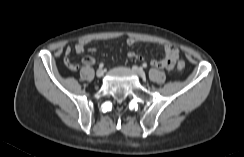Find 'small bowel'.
I'll return each instance as SVG.
<instances>
[{
    "label": "small bowel",
    "instance_id": "c3829d8e",
    "mask_svg": "<svg viewBox=\"0 0 244 157\" xmlns=\"http://www.w3.org/2000/svg\"><path fill=\"white\" fill-rule=\"evenodd\" d=\"M139 40H137L136 38L133 37H129L127 39V45L128 46H133L136 43H138ZM91 43L90 40L88 39H81L80 41H78V43L75 45V51L79 54L83 53L85 51V48ZM161 48L164 51V57L160 60H151L150 64L156 68L159 69H167V70H172L175 67L176 61L179 58V51L178 49L169 44V43H163L161 45ZM89 51H95V48L90 47ZM71 53V47H67L65 50V58H64V63L65 65L72 71H76L78 69V65L73 64L70 59H69V55ZM128 57L131 59H135V60H142V56L136 54L135 52H129L128 53ZM82 63L85 66H91L95 63V58L88 54L86 56L83 57L82 59Z\"/></svg>",
    "mask_w": 244,
    "mask_h": 157
}]
</instances>
